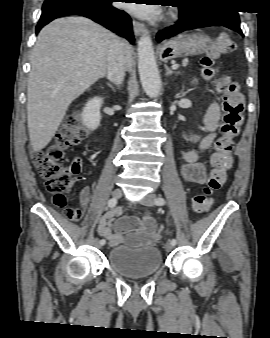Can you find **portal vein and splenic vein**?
Returning a JSON list of instances; mask_svg holds the SVG:
<instances>
[{"mask_svg": "<svg viewBox=\"0 0 270 338\" xmlns=\"http://www.w3.org/2000/svg\"><path fill=\"white\" fill-rule=\"evenodd\" d=\"M179 67V65L178 64H174V65H172V69H177Z\"/></svg>", "mask_w": 270, "mask_h": 338, "instance_id": "portal-vein-and-splenic-vein-1", "label": "portal vein and splenic vein"}]
</instances>
